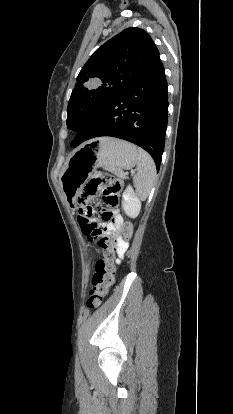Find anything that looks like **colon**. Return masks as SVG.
Returning <instances> with one entry per match:
<instances>
[{
    "mask_svg": "<svg viewBox=\"0 0 233 414\" xmlns=\"http://www.w3.org/2000/svg\"><path fill=\"white\" fill-rule=\"evenodd\" d=\"M122 188V182L107 173L97 172L94 174L83 190L82 196L78 199L79 222L82 231L88 238L97 241L104 259L99 260L95 266L92 277V288L89 291L87 305L90 308L98 307L109 292L110 287L115 281L116 269L113 263L116 252L118 251L117 239L112 236H103L95 225L89 223L90 208L85 206L87 198L100 193L103 199L102 213L107 217L109 209L118 202V195ZM133 233L130 222L123 223V238L126 243Z\"/></svg>",
    "mask_w": 233,
    "mask_h": 414,
    "instance_id": "obj_1",
    "label": "colon"
}]
</instances>
